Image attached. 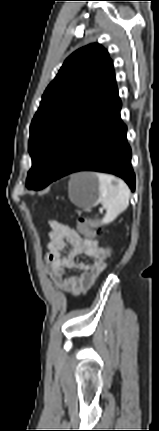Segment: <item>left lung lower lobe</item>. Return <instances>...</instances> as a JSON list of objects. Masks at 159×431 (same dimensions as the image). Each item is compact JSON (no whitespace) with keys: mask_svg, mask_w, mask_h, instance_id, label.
<instances>
[{"mask_svg":"<svg viewBox=\"0 0 159 431\" xmlns=\"http://www.w3.org/2000/svg\"><path fill=\"white\" fill-rule=\"evenodd\" d=\"M120 109L121 100L117 95L108 107L78 131L52 181L74 172L98 171L121 177L132 191L135 190L131 148Z\"/></svg>","mask_w":159,"mask_h":431,"instance_id":"1","label":"left lung lower lobe"}]
</instances>
